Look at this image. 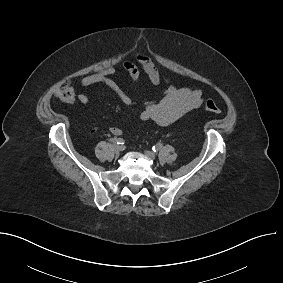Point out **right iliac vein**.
Listing matches in <instances>:
<instances>
[{
    "label": "right iliac vein",
    "mask_w": 283,
    "mask_h": 283,
    "mask_svg": "<svg viewBox=\"0 0 283 283\" xmlns=\"http://www.w3.org/2000/svg\"><path fill=\"white\" fill-rule=\"evenodd\" d=\"M113 150H114V152H115L116 154H118V153L120 152V150H121V147L118 146V145H114V146H113Z\"/></svg>",
    "instance_id": "right-iliac-vein-1"
}]
</instances>
